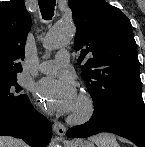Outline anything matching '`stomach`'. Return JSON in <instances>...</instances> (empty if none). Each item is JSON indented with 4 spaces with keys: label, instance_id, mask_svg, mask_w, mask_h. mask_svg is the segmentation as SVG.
Returning a JSON list of instances; mask_svg holds the SVG:
<instances>
[{
    "label": "stomach",
    "instance_id": "0dacf381",
    "mask_svg": "<svg viewBox=\"0 0 145 147\" xmlns=\"http://www.w3.org/2000/svg\"><path fill=\"white\" fill-rule=\"evenodd\" d=\"M76 147H94V145L90 142H81Z\"/></svg>",
    "mask_w": 145,
    "mask_h": 147
}]
</instances>
